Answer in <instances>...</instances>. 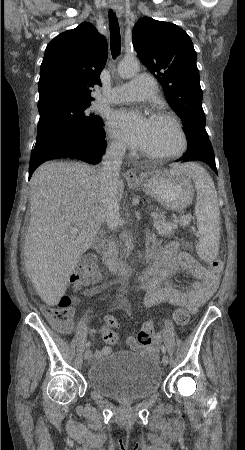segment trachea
Wrapping results in <instances>:
<instances>
[{"label":"trachea","mask_w":245,"mask_h":450,"mask_svg":"<svg viewBox=\"0 0 245 450\" xmlns=\"http://www.w3.org/2000/svg\"><path fill=\"white\" fill-rule=\"evenodd\" d=\"M109 27L111 54L115 59L119 55L121 50V36L119 24L112 9L109 10Z\"/></svg>","instance_id":"1"}]
</instances>
